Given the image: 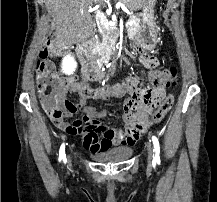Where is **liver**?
<instances>
[{
  "label": "liver",
  "instance_id": "1",
  "mask_svg": "<svg viewBox=\"0 0 217 202\" xmlns=\"http://www.w3.org/2000/svg\"><path fill=\"white\" fill-rule=\"evenodd\" d=\"M95 0H45V6L55 20L56 46H72L86 42L96 26L89 12ZM104 2V0H98ZM129 10H142L148 0H120ZM104 6V4H102Z\"/></svg>",
  "mask_w": 217,
  "mask_h": 202
}]
</instances>
